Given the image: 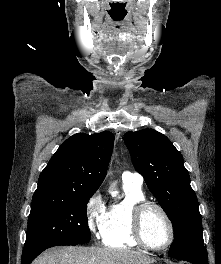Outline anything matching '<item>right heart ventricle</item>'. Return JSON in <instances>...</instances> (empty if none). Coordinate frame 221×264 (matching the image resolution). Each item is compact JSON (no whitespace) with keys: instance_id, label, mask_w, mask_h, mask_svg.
Returning a JSON list of instances; mask_svg holds the SVG:
<instances>
[{"instance_id":"1","label":"right heart ventricle","mask_w":221,"mask_h":264,"mask_svg":"<svg viewBox=\"0 0 221 264\" xmlns=\"http://www.w3.org/2000/svg\"><path fill=\"white\" fill-rule=\"evenodd\" d=\"M124 197L109 206L106 217L102 243L111 248L132 249L139 247L131 233L130 217L133 206L145 200V194L141 186L132 183H124Z\"/></svg>"}]
</instances>
